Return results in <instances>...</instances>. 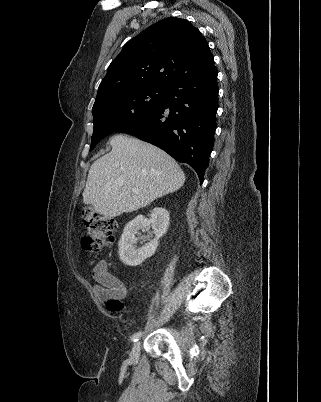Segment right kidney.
I'll use <instances>...</instances> for the list:
<instances>
[{
  "instance_id": "ca27d5eb",
  "label": "right kidney",
  "mask_w": 321,
  "mask_h": 402,
  "mask_svg": "<svg viewBox=\"0 0 321 402\" xmlns=\"http://www.w3.org/2000/svg\"><path fill=\"white\" fill-rule=\"evenodd\" d=\"M169 221V212L164 208L156 207L152 210L149 221L143 215H138L128 222L118 243L120 260L125 265L134 267L151 257L156 251L159 239L167 232ZM150 224L155 238L137 249L134 244L138 231L147 228Z\"/></svg>"
}]
</instances>
